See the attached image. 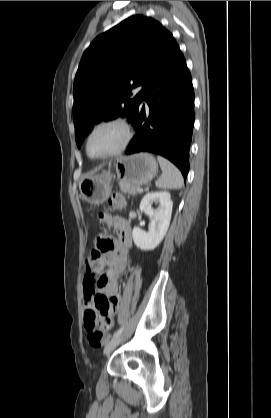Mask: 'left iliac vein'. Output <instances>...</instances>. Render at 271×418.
<instances>
[{"mask_svg":"<svg viewBox=\"0 0 271 418\" xmlns=\"http://www.w3.org/2000/svg\"><path fill=\"white\" fill-rule=\"evenodd\" d=\"M122 336L119 335L116 338H113L110 342H108L104 348V354H110L121 342Z\"/></svg>","mask_w":271,"mask_h":418,"instance_id":"left-iliac-vein-1","label":"left iliac vein"}]
</instances>
